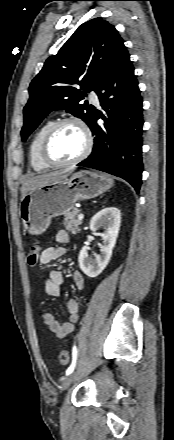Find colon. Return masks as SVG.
Segmentation results:
<instances>
[{
  "mask_svg": "<svg viewBox=\"0 0 174 440\" xmlns=\"http://www.w3.org/2000/svg\"><path fill=\"white\" fill-rule=\"evenodd\" d=\"M41 255V246L39 241H34L28 250L27 262L30 266H34L38 263ZM70 354L67 350H62L59 353V362L62 365H66L69 362Z\"/></svg>",
  "mask_w": 174,
  "mask_h": 440,
  "instance_id": "1",
  "label": "colon"
}]
</instances>
